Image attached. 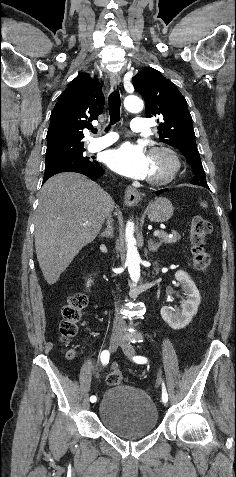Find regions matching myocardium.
Returning <instances> with one entry per match:
<instances>
[{
  "label": "myocardium",
  "mask_w": 236,
  "mask_h": 477,
  "mask_svg": "<svg viewBox=\"0 0 236 477\" xmlns=\"http://www.w3.org/2000/svg\"><path fill=\"white\" fill-rule=\"evenodd\" d=\"M162 155L169 164L167 172L157 177H148L147 182L151 185H164L171 182L181 169V161L177 153L168 146H155L150 150V156Z\"/></svg>",
  "instance_id": "f54148a6"
}]
</instances>
